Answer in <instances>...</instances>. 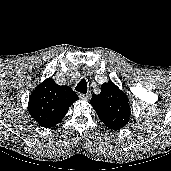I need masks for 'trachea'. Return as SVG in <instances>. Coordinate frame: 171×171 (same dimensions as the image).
Here are the masks:
<instances>
[{
  "label": "trachea",
  "mask_w": 171,
  "mask_h": 171,
  "mask_svg": "<svg viewBox=\"0 0 171 171\" xmlns=\"http://www.w3.org/2000/svg\"><path fill=\"white\" fill-rule=\"evenodd\" d=\"M87 88H88L87 87V81L83 78L77 84V86L75 87V90L80 92V93L86 94L87 93Z\"/></svg>",
  "instance_id": "1"
}]
</instances>
